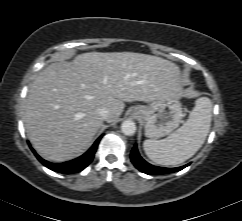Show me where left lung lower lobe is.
<instances>
[{"instance_id":"1","label":"left lung lower lobe","mask_w":242,"mask_h":221,"mask_svg":"<svg viewBox=\"0 0 242 221\" xmlns=\"http://www.w3.org/2000/svg\"><path fill=\"white\" fill-rule=\"evenodd\" d=\"M130 158L134 166L141 172L154 175V174H166L173 173L182 170L188 165L176 167V168H165V167H157L147 163L139 154L137 150V146L135 145L131 151Z\"/></svg>"}]
</instances>
